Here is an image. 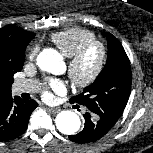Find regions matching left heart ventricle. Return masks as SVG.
I'll use <instances>...</instances> for the list:
<instances>
[{"instance_id":"b2bd125f","label":"left heart ventricle","mask_w":153,"mask_h":153,"mask_svg":"<svg viewBox=\"0 0 153 153\" xmlns=\"http://www.w3.org/2000/svg\"><path fill=\"white\" fill-rule=\"evenodd\" d=\"M99 59V50L94 47L90 49L87 54L84 56L83 60L79 66V74L81 76L89 75L95 68Z\"/></svg>"}]
</instances>
